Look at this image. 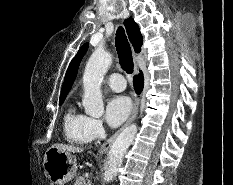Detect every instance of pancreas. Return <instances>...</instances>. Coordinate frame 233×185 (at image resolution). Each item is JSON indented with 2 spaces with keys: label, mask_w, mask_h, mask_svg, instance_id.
<instances>
[{
  "label": "pancreas",
  "mask_w": 233,
  "mask_h": 185,
  "mask_svg": "<svg viewBox=\"0 0 233 185\" xmlns=\"http://www.w3.org/2000/svg\"><path fill=\"white\" fill-rule=\"evenodd\" d=\"M74 185H87V184H86V182H85V180H84L83 178L77 177V178L75 179Z\"/></svg>",
  "instance_id": "cf45deb5"
}]
</instances>
